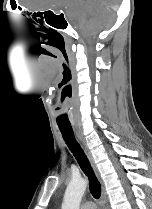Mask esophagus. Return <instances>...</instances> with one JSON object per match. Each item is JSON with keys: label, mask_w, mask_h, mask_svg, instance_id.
I'll use <instances>...</instances> for the list:
<instances>
[{"label": "esophagus", "mask_w": 152, "mask_h": 209, "mask_svg": "<svg viewBox=\"0 0 152 209\" xmlns=\"http://www.w3.org/2000/svg\"><path fill=\"white\" fill-rule=\"evenodd\" d=\"M77 135H78V138L81 142V145H82V148H83L85 154L87 155L94 171L96 172V174L99 178V173L96 169V166L94 164L93 157L91 155V152H90L89 148L87 147L85 141L82 139V137L79 135V133H77ZM100 182H101V180H100ZM101 201H102L103 209H109L108 198H107V195H106L105 187H104L102 182H101Z\"/></svg>", "instance_id": "1"}]
</instances>
